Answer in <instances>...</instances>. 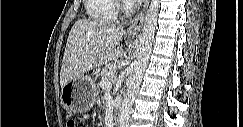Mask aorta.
I'll use <instances>...</instances> for the list:
<instances>
[{
  "label": "aorta",
  "instance_id": "762f6f07",
  "mask_svg": "<svg viewBox=\"0 0 243 127\" xmlns=\"http://www.w3.org/2000/svg\"><path fill=\"white\" fill-rule=\"evenodd\" d=\"M159 8L160 0H152L145 17L144 26L142 28L140 44L134 65V74L132 76L127 93L124 97L120 109L119 127L129 126L131 110L135 100V96L142 83L143 74L145 72L151 53V48L157 26Z\"/></svg>",
  "mask_w": 243,
  "mask_h": 127
}]
</instances>
